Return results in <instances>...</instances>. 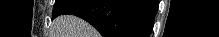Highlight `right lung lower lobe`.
<instances>
[{
  "label": "right lung lower lobe",
  "instance_id": "obj_1",
  "mask_svg": "<svg viewBox=\"0 0 219 37\" xmlns=\"http://www.w3.org/2000/svg\"><path fill=\"white\" fill-rule=\"evenodd\" d=\"M157 9V0H72L56 16L76 15L103 37H149Z\"/></svg>",
  "mask_w": 219,
  "mask_h": 37
}]
</instances>
